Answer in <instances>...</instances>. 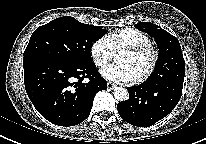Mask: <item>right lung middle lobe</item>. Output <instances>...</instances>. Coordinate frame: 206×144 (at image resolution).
Listing matches in <instances>:
<instances>
[{
  "mask_svg": "<svg viewBox=\"0 0 206 144\" xmlns=\"http://www.w3.org/2000/svg\"><path fill=\"white\" fill-rule=\"evenodd\" d=\"M106 33L100 26L81 23L66 16L38 27L32 34L23 59L41 56L73 65L92 63V44Z\"/></svg>",
  "mask_w": 206,
  "mask_h": 144,
  "instance_id": "1",
  "label": "right lung middle lobe"
}]
</instances>
